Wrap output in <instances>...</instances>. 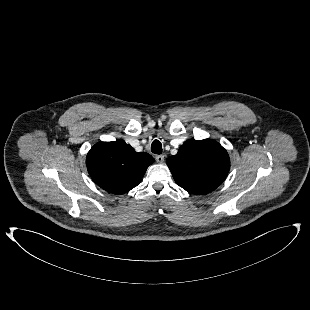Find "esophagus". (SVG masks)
Segmentation results:
<instances>
[{"instance_id": "1", "label": "esophagus", "mask_w": 310, "mask_h": 310, "mask_svg": "<svg viewBox=\"0 0 310 310\" xmlns=\"http://www.w3.org/2000/svg\"><path fill=\"white\" fill-rule=\"evenodd\" d=\"M155 159L158 163H163L164 162V156L163 155H156Z\"/></svg>"}]
</instances>
